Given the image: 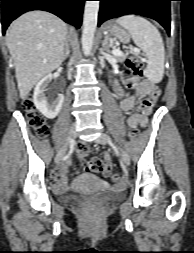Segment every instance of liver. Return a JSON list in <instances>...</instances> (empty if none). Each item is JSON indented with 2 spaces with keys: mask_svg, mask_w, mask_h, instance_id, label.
<instances>
[{
  "mask_svg": "<svg viewBox=\"0 0 194 253\" xmlns=\"http://www.w3.org/2000/svg\"><path fill=\"white\" fill-rule=\"evenodd\" d=\"M67 25L45 11H31L13 21L6 44L15 66L21 99L63 62Z\"/></svg>",
  "mask_w": 194,
  "mask_h": 253,
  "instance_id": "1",
  "label": "liver"
}]
</instances>
